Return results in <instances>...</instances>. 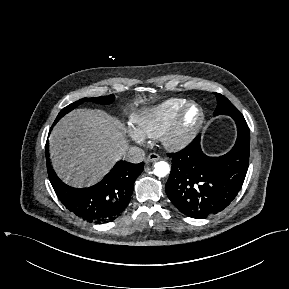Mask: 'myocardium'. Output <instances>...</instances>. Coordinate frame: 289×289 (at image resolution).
<instances>
[{
    "mask_svg": "<svg viewBox=\"0 0 289 289\" xmlns=\"http://www.w3.org/2000/svg\"><path fill=\"white\" fill-rule=\"evenodd\" d=\"M191 108H196L197 116L192 123L187 122V115ZM205 114L203 108L194 101H189L184 104L173 124L163 134V145L173 151L181 150L188 146L198 135Z\"/></svg>",
    "mask_w": 289,
    "mask_h": 289,
    "instance_id": "obj_1",
    "label": "myocardium"
}]
</instances>
